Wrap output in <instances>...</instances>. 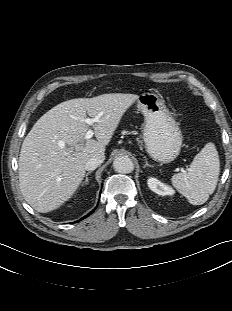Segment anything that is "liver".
Here are the masks:
<instances>
[{
	"mask_svg": "<svg viewBox=\"0 0 232 311\" xmlns=\"http://www.w3.org/2000/svg\"><path fill=\"white\" fill-rule=\"evenodd\" d=\"M139 98L112 93L64 101L41 116L25 137L19 157V186L26 202L40 213L60 207L78 189L85 163L105 159L110 142L126 110ZM102 114L94 125L97 140H85L88 116ZM65 146H59V142Z\"/></svg>",
	"mask_w": 232,
	"mask_h": 311,
	"instance_id": "liver-1",
	"label": "liver"
}]
</instances>
